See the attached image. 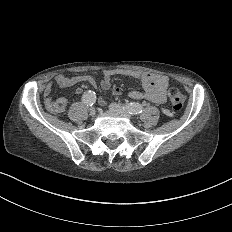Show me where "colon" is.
Masks as SVG:
<instances>
[{"mask_svg": "<svg viewBox=\"0 0 232 232\" xmlns=\"http://www.w3.org/2000/svg\"><path fill=\"white\" fill-rule=\"evenodd\" d=\"M166 97L169 100V102H166V107H184L182 103L184 94L179 92L177 86H172V88L168 89ZM47 108L52 113H67V105H65L64 98H60V96H47Z\"/></svg>", "mask_w": 232, "mask_h": 232, "instance_id": "obj_1", "label": "colon"}]
</instances>
